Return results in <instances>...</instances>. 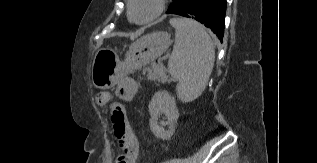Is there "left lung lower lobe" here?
I'll use <instances>...</instances> for the list:
<instances>
[{
    "instance_id": "1",
    "label": "left lung lower lobe",
    "mask_w": 317,
    "mask_h": 163,
    "mask_svg": "<svg viewBox=\"0 0 317 163\" xmlns=\"http://www.w3.org/2000/svg\"><path fill=\"white\" fill-rule=\"evenodd\" d=\"M226 0H181L169 14L192 18L211 28L222 42Z\"/></svg>"
}]
</instances>
